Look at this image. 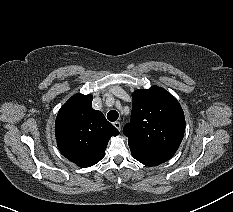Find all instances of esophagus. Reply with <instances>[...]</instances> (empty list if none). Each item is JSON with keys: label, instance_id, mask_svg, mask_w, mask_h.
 Segmentation results:
<instances>
[{"label": "esophagus", "instance_id": "1", "mask_svg": "<svg viewBox=\"0 0 233 212\" xmlns=\"http://www.w3.org/2000/svg\"><path fill=\"white\" fill-rule=\"evenodd\" d=\"M113 125H114V127L116 129H118L119 131H121V124H120V122L116 121V122L113 123Z\"/></svg>", "mask_w": 233, "mask_h": 212}]
</instances>
